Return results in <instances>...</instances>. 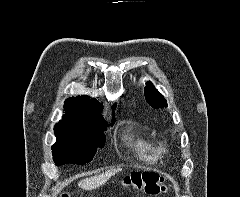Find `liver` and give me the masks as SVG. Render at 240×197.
Segmentation results:
<instances>
[{"label": "liver", "mask_w": 240, "mask_h": 197, "mask_svg": "<svg viewBox=\"0 0 240 197\" xmlns=\"http://www.w3.org/2000/svg\"><path fill=\"white\" fill-rule=\"evenodd\" d=\"M120 170L121 169H111L105 173L83 179L78 183V186L84 190H93L104 184L111 176L115 175Z\"/></svg>", "instance_id": "1"}]
</instances>
